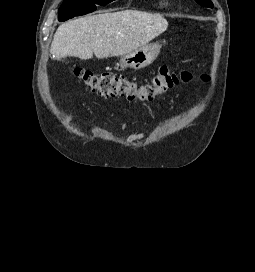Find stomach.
Returning a JSON list of instances; mask_svg holds the SVG:
<instances>
[{"mask_svg": "<svg viewBox=\"0 0 255 272\" xmlns=\"http://www.w3.org/2000/svg\"><path fill=\"white\" fill-rule=\"evenodd\" d=\"M161 50V45L147 44L139 47L125 55L120 59V62L116 65L115 69L125 70V69H141L150 65L159 55Z\"/></svg>", "mask_w": 255, "mask_h": 272, "instance_id": "1", "label": "stomach"}]
</instances>
